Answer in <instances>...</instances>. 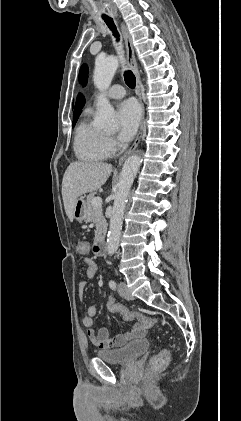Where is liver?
I'll return each mask as SVG.
<instances>
[{
	"instance_id": "obj_1",
	"label": "liver",
	"mask_w": 241,
	"mask_h": 421,
	"mask_svg": "<svg viewBox=\"0 0 241 421\" xmlns=\"http://www.w3.org/2000/svg\"><path fill=\"white\" fill-rule=\"evenodd\" d=\"M112 172V165L101 162H72L62 181L65 212L73 221V210L78 197L101 188Z\"/></svg>"
}]
</instances>
